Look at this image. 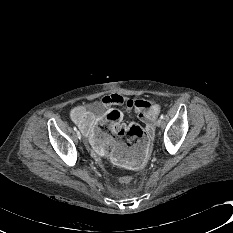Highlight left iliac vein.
I'll list each match as a JSON object with an SVG mask.
<instances>
[{
	"instance_id": "1",
	"label": "left iliac vein",
	"mask_w": 233,
	"mask_h": 233,
	"mask_svg": "<svg viewBox=\"0 0 233 233\" xmlns=\"http://www.w3.org/2000/svg\"><path fill=\"white\" fill-rule=\"evenodd\" d=\"M162 125V119L159 118L157 121H156V126L157 127H160Z\"/></svg>"
}]
</instances>
